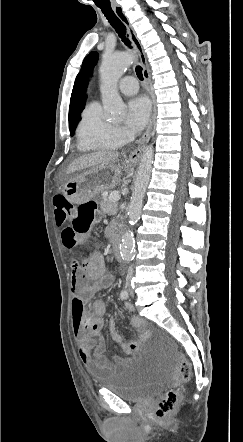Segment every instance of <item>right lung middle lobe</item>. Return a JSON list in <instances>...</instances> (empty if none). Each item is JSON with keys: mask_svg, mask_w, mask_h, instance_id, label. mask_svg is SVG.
Wrapping results in <instances>:
<instances>
[{"mask_svg": "<svg viewBox=\"0 0 243 442\" xmlns=\"http://www.w3.org/2000/svg\"><path fill=\"white\" fill-rule=\"evenodd\" d=\"M77 124L73 125V126H69L70 127V134L73 135L75 128H76Z\"/></svg>", "mask_w": 243, "mask_h": 442, "instance_id": "dd1d6c3e", "label": "right lung middle lobe"}]
</instances>
